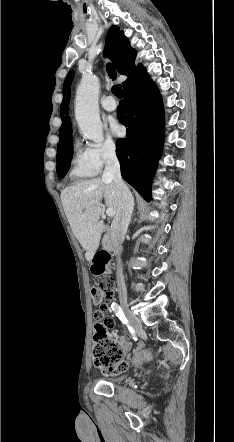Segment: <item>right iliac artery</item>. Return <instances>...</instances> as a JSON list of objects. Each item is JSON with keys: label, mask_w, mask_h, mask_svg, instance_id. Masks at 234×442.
Returning <instances> with one entry per match:
<instances>
[{"label": "right iliac artery", "mask_w": 234, "mask_h": 442, "mask_svg": "<svg viewBox=\"0 0 234 442\" xmlns=\"http://www.w3.org/2000/svg\"><path fill=\"white\" fill-rule=\"evenodd\" d=\"M112 310L115 312L116 316L124 323L127 324L128 321L121 309V307L117 303H112L111 305Z\"/></svg>", "instance_id": "82829eb1"}]
</instances>
